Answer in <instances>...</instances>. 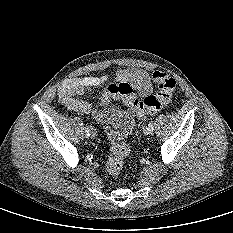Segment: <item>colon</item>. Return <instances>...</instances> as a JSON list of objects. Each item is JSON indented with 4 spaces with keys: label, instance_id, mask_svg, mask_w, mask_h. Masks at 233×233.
Instances as JSON below:
<instances>
[{
    "label": "colon",
    "instance_id": "5ec220e1",
    "mask_svg": "<svg viewBox=\"0 0 233 233\" xmlns=\"http://www.w3.org/2000/svg\"><path fill=\"white\" fill-rule=\"evenodd\" d=\"M152 77L157 86V91L142 100H139L127 85L120 87L122 98L140 117L158 112L171 100L176 87L175 80L162 71L154 72ZM129 152V144L126 141H118L112 146L106 164L107 171L111 176L116 177L120 174L124 159Z\"/></svg>",
    "mask_w": 233,
    "mask_h": 233
}]
</instances>
